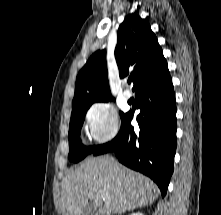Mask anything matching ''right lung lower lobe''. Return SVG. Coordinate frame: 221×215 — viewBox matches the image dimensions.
<instances>
[{
  "label": "right lung lower lobe",
  "mask_w": 221,
  "mask_h": 215,
  "mask_svg": "<svg viewBox=\"0 0 221 215\" xmlns=\"http://www.w3.org/2000/svg\"><path fill=\"white\" fill-rule=\"evenodd\" d=\"M139 129L131 126L133 114L123 115L121 129L110 142L98 146L95 156L115 152L119 162L149 176L165 196L176 152V102L169 71L135 90Z\"/></svg>",
  "instance_id": "right-lung-lower-lobe-1"
}]
</instances>
